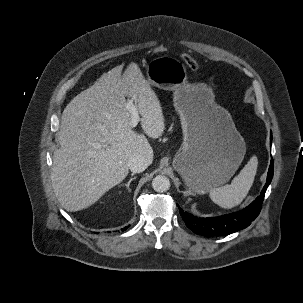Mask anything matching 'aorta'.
I'll return each mask as SVG.
<instances>
[{"label":"aorta","instance_id":"762f6f07","mask_svg":"<svg viewBox=\"0 0 303 303\" xmlns=\"http://www.w3.org/2000/svg\"><path fill=\"white\" fill-rule=\"evenodd\" d=\"M152 187L156 192H165L170 188V181L166 176L158 175L153 179Z\"/></svg>","mask_w":303,"mask_h":303}]
</instances>
